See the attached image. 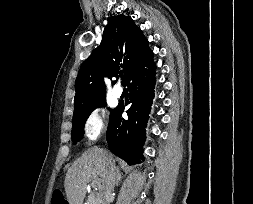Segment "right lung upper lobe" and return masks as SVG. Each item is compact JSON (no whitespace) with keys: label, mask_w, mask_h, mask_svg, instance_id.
I'll return each instance as SVG.
<instances>
[{"label":"right lung upper lobe","mask_w":253,"mask_h":204,"mask_svg":"<svg viewBox=\"0 0 253 204\" xmlns=\"http://www.w3.org/2000/svg\"><path fill=\"white\" fill-rule=\"evenodd\" d=\"M149 51L148 40L131 17L112 16L100 46L80 67L75 81L74 112L104 97V76H117L122 69V82L125 83Z\"/></svg>","instance_id":"obj_1"}]
</instances>
